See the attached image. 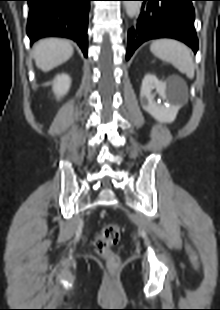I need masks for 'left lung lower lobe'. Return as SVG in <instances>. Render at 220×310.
I'll return each instance as SVG.
<instances>
[{"label":"left lung lower lobe","mask_w":220,"mask_h":310,"mask_svg":"<svg viewBox=\"0 0 220 310\" xmlns=\"http://www.w3.org/2000/svg\"><path fill=\"white\" fill-rule=\"evenodd\" d=\"M141 14L129 30L127 60L144 42L156 38H174L196 53L198 39L194 28V0H140Z\"/></svg>","instance_id":"1"}]
</instances>
